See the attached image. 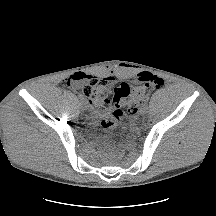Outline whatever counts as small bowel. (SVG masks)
<instances>
[{
    "label": "small bowel",
    "mask_w": 216,
    "mask_h": 216,
    "mask_svg": "<svg viewBox=\"0 0 216 216\" xmlns=\"http://www.w3.org/2000/svg\"><path fill=\"white\" fill-rule=\"evenodd\" d=\"M86 76L85 74L81 73V72H76L73 75L70 76V78L67 79V81L70 82H78L82 79H84ZM111 80H114V78L110 77ZM122 85V84H121ZM126 85V84H124Z\"/></svg>",
    "instance_id": "small-bowel-1"
}]
</instances>
